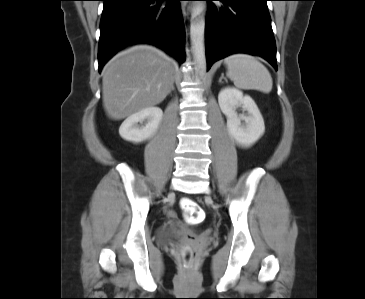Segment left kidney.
Masks as SVG:
<instances>
[{"label":"left kidney","mask_w":365,"mask_h":299,"mask_svg":"<svg viewBox=\"0 0 365 299\" xmlns=\"http://www.w3.org/2000/svg\"><path fill=\"white\" fill-rule=\"evenodd\" d=\"M218 103L227 118L228 132L237 144L249 147L264 134L263 117L250 96L243 95L237 89L227 87L220 91ZM239 107L247 111L248 115H238L236 110Z\"/></svg>","instance_id":"left-kidney-1"}]
</instances>
